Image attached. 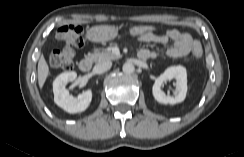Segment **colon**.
<instances>
[{"instance_id": "obj_1", "label": "colon", "mask_w": 244, "mask_h": 157, "mask_svg": "<svg viewBox=\"0 0 244 157\" xmlns=\"http://www.w3.org/2000/svg\"><path fill=\"white\" fill-rule=\"evenodd\" d=\"M129 35L141 37L155 33L152 25H136L128 30ZM57 37L65 43V46L52 51L50 64L55 68L70 70L74 64V47H81L84 43L82 28L78 25H64L57 31ZM192 55L199 58L202 55V47L198 41L192 44Z\"/></svg>"}]
</instances>
